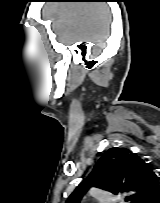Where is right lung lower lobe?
Masks as SVG:
<instances>
[{
    "instance_id": "1",
    "label": "right lung lower lobe",
    "mask_w": 160,
    "mask_h": 203,
    "mask_svg": "<svg viewBox=\"0 0 160 203\" xmlns=\"http://www.w3.org/2000/svg\"><path fill=\"white\" fill-rule=\"evenodd\" d=\"M148 203H160V193L157 194L153 199H151Z\"/></svg>"
}]
</instances>
